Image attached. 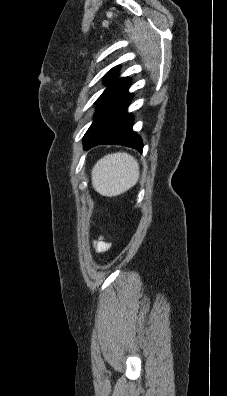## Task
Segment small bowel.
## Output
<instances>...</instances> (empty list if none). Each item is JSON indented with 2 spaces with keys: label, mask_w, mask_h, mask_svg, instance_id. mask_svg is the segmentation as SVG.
<instances>
[{
  "label": "small bowel",
  "mask_w": 227,
  "mask_h": 396,
  "mask_svg": "<svg viewBox=\"0 0 227 396\" xmlns=\"http://www.w3.org/2000/svg\"><path fill=\"white\" fill-rule=\"evenodd\" d=\"M109 243L105 242L103 239H99L94 242V248L97 253L105 252L109 249Z\"/></svg>",
  "instance_id": "small-bowel-1"
}]
</instances>
